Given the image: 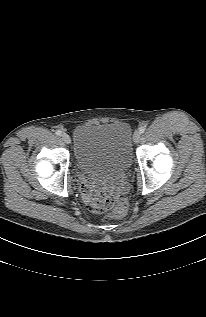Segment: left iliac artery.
I'll return each mask as SVG.
<instances>
[{
    "instance_id": "1",
    "label": "left iliac artery",
    "mask_w": 206,
    "mask_h": 317,
    "mask_svg": "<svg viewBox=\"0 0 206 317\" xmlns=\"http://www.w3.org/2000/svg\"><path fill=\"white\" fill-rule=\"evenodd\" d=\"M145 130H146V128H145L144 126H142V127L139 128L140 133H144Z\"/></svg>"
}]
</instances>
